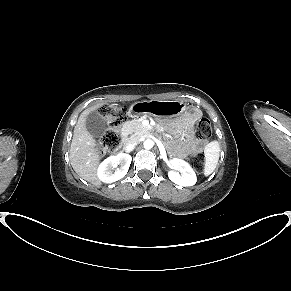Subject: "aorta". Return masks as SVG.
Returning a JSON list of instances; mask_svg holds the SVG:
<instances>
[{"label": "aorta", "instance_id": "aorta-1", "mask_svg": "<svg viewBox=\"0 0 291 291\" xmlns=\"http://www.w3.org/2000/svg\"><path fill=\"white\" fill-rule=\"evenodd\" d=\"M143 146L145 149H151L153 146H154V142L151 140V139H146L144 142H143Z\"/></svg>", "mask_w": 291, "mask_h": 291}]
</instances>
